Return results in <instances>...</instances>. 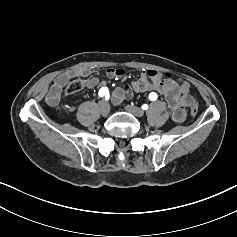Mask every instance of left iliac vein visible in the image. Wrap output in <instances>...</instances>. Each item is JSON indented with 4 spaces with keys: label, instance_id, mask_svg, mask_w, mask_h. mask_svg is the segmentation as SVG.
<instances>
[{
    "label": "left iliac vein",
    "instance_id": "obj_1",
    "mask_svg": "<svg viewBox=\"0 0 237 237\" xmlns=\"http://www.w3.org/2000/svg\"><path fill=\"white\" fill-rule=\"evenodd\" d=\"M125 110L131 114H133L136 117H142L144 116V110H142L141 108L132 106V105H126L125 106Z\"/></svg>",
    "mask_w": 237,
    "mask_h": 237
}]
</instances>
